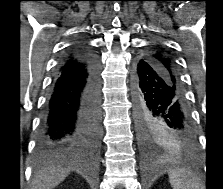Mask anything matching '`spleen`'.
I'll list each match as a JSON object with an SVG mask.
<instances>
[{
	"instance_id": "spleen-1",
	"label": "spleen",
	"mask_w": 223,
	"mask_h": 189,
	"mask_svg": "<svg viewBox=\"0 0 223 189\" xmlns=\"http://www.w3.org/2000/svg\"><path fill=\"white\" fill-rule=\"evenodd\" d=\"M169 181L173 189H196V178L185 169H176L169 172Z\"/></svg>"
}]
</instances>
